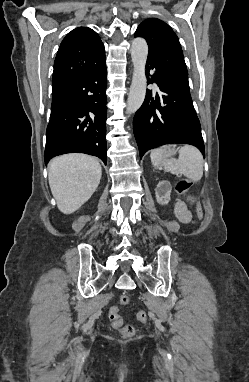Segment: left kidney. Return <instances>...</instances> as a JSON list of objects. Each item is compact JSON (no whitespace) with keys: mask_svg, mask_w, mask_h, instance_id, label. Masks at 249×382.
<instances>
[{"mask_svg":"<svg viewBox=\"0 0 249 382\" xmlns=\"http://www.w3.org/2000/svg\"><path fill=\"white\" fill-rule=\"evenodd\" d=\"M172 186L169 181L163 180L157 184L155 189L156 197H154V202H158L162 205H166L170 201V193Z\"/></svg>","mask_w":249,"mask_h":382,"instance_id":"obj_1","label":"left kidney"}]
</instances>
